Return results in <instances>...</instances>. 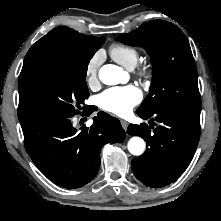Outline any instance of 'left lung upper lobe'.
Masks as SVG:
<instances>
[{"label": "left lung upper lobe", "instance_id": "left-lung-upper-lobe-1", "mask_svg": "<svg viewBox=\"0 0 221 221\" xmlns=\"http://www.w3.org/2000/svg\"><path fill=\"white\" fill-rule=\"evenodd\" d=\"M131 46H141L151 57L150 92L137 110L148 111L155 105H168L201 111L198 77L186 36L174 24L156 20L116 38Z\"/></svg>", "mask_w": 221, "mask_h": 221}]
</instances>
